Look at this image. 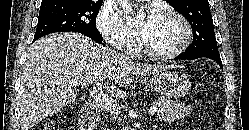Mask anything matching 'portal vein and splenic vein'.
Listing matches in <instances>:
<instances>
[{
	"label": "portal vein and splenic vein",
	"instance_id": "1",
	"mask_svg": "<svg viewBox=\"0 0 249 130\" xmlns=\"http://www.w3.org/2000/svg\"><path fill=\"white\" fill-rule=\"evenodd\" d=\"M97 88L90 90L89 94L96 100L100 105H102L106 110H108L112 114H120V107L115 103L111 98L106 96L99 87L100 84H96ZM158 111L157 106H153L149 109V114H154Z\"/></svg>",
	"mask_w": 249,
	"mask_h": 130
}]
</instances>
